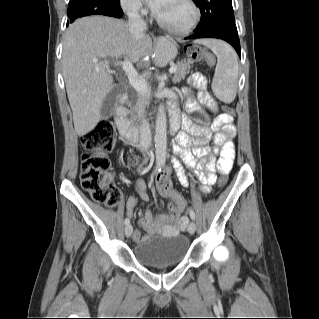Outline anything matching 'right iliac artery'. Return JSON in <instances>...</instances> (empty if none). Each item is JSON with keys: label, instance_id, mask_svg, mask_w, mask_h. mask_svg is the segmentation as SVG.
<instances>
[{"label": "right iliac artery", "instance_id": "right-iliac-artery-1", "mask_svg": "<svg viewBox=\"0 0 319 319\" xmlns=\"http://www.w3.org/2000/svg\"><path fill=\"white\" fill-rule=\"evenodd\" d=\"M161 169L159 167H156L155 172L160 171ZM130 220L128 218L125 219L124 223L127 225L129 224Z\"/></svg>", "mask_w": 319, "mask_h": 319}]
</instances>
